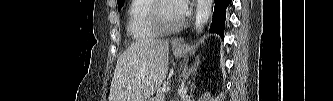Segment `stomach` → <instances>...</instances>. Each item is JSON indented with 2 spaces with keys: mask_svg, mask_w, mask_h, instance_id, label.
Listing matches in <instances>:
<instances>
[{
  "mask_svg": "<svg viewBox=\"0 0 333 101\" xmlns=\"http://www.w3.org/2000/svg\"><path fill=\"white\" fill-rule=\"evenodd\" d=\"M187 50H188L187 45H183L181 47H176L173 45V53L177 58L182 57L187 52Z\"/></svg>",
  "mask_w": 333,
  "mask_h": 101,
  "instance_id": "obj_1",
  "label": "stomach"
}]
</instances>
